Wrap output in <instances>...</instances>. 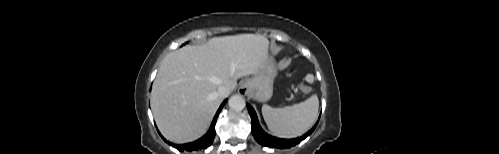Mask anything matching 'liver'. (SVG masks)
<instances>
[{
	"mask_svg": "<svg viewBox=\"0 0 499 154\" xmlns=\"http://www.w3.org/2000/svg\"><path fill=\"white\" fill-rule=\"evenodd\" d=\"M260 34L215 37L188 45L163 59L151 93V108L163 136L175 143L201 137L220 105V86L230 92L243 76L256 75L268 59Z\"/></svg>",
	"mask_w": 499,
	"mask_h": 154,
	"instance_id": "liver-1",
	"label": "liver"
}]
</instances>
